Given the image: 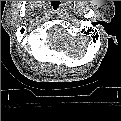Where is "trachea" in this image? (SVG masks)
I'll return each mask as SVG.
<instances>
[{"label": "trachea", "instance_id": "obj_1", "mask_svg": "<svg viewBox=\"0 0 121 121\" xmlns=\"http://www.w3.org/2000/svg\"><path fill=\"white\" fill-rule=\"evenodd\" d=\"M51 6L54 10H57L61 7L60 1H52Z\"/></svg>", "mask_w": 121, "mask_h": 121}]
</instances>
